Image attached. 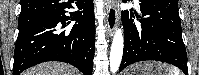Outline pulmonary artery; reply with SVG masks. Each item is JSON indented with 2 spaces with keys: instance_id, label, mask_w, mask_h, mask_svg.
Listing matches in <instances>:
<instances>
[{
  "instance_id": "1",
  "label": "pulmonary artery",
  "mask_w": 199,
  "mask_h": 75,
  "mask_svg": "<svg viewBox=\"0 0 199 75\" xmlns=\"http://www.w3.org/2000/svg\"><path fill=\"white\" fill-rule=\"evenodd\" d=\"M137 4L139 3V1H135Z\"/></svg>"
}]
</instances>
